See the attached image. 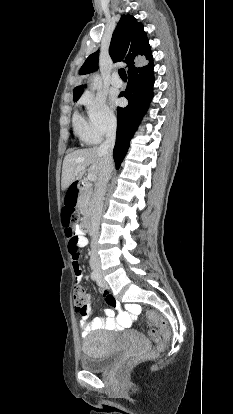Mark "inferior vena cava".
Returning a JSON list of instances; mask_svg holds the SVG:
<instances>
[{
	"instance_id": "1",
	"label": "inferior vena cava",
	"mask_w": 233,
	"mask_h": 414,
	"mask_svg": "<svg viewBox=\"0 0 233 414\" xmlns=\"http://www.w3.org/2000/svg\"><path fill=\"white\" fill-rule=\"evenodd\" d=\"M116 127V121H111L109 123L106 131V140L99 147V152L104 155V166L98 178L95 207L92 213V225L94 232L91 235L92 237L89 246V249L92 252L90 262L95 265L100 264V259L97 255L100 252V249L98 248L96 241L98 240L97 233L100 227V220L102 217L103 199L106 192V186L110 180L111 173L113 171L112 154L116 139Z\"/></svg>"
}]
</instances>
